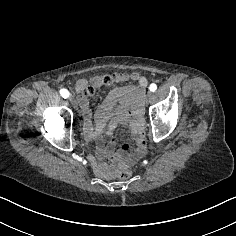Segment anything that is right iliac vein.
<instances>
[{
  "instance_id": "1",
  "label": "right iliac vein",
  "mask_w": 236,
  "mask_h": 236,
  "mask_svg": "<svg viewBox=\"0 0 236 236\" xmlns=\"http://www.w3.org/2000/svg\"><path fill=\"white\" fill-rule=\"evenodd\" d=\"M70 102H71V104L73 105L74 110H75V111H78V110H79V107H78V103L75 101V99H74V98H71V99H70Z\"/></svg>"
}]
</instances>
